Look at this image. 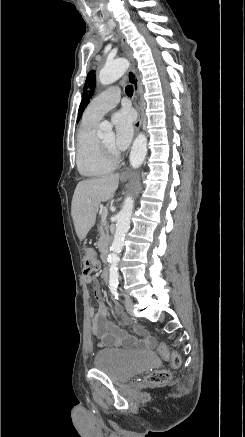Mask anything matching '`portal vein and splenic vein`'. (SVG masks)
Listing matches in <instances>:
<instances>
[{"instance_id":"18ae733b","label":"portal vein and splenic vein","mask_w":245,"mask_h":437,"mask_svg":"<svg viewBox=\"0 0 245 437\" xmlns=\"http://www.w3.org/2000/svg\"><path fill=\"white\" fill-rule=\"evenodd\" d=\"M107 215H108V210H107V209L103 210V212H102V220H103V221L106 220Z\"/></svg>"}]
</instances>
